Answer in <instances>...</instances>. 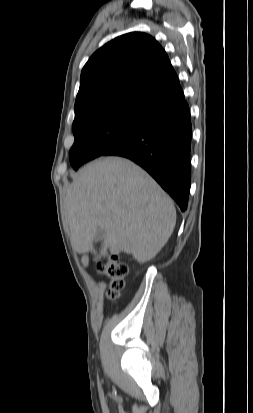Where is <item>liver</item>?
I'll return each mask as SVG.
<instances>
[{
	"mask_svg": "<svg viewBox=\"0 0 253 413\" xmlns=\"http://www.w3.org/2000/svg\"><path fill=\"white\" fill-rule=\"evenodd\" d=\"M66 216L74 250L94 261L125 252L144 263L170 238L176 223L171 198L142 168L128 159L106 157L86 165L66 193ZM105 231L100 253L93 241Z\"/></svg>",
	"mask_w": 253,
	"mask_h": 413,
	"instance_id": "1",
	"label": "liver"
}]
</instances>
